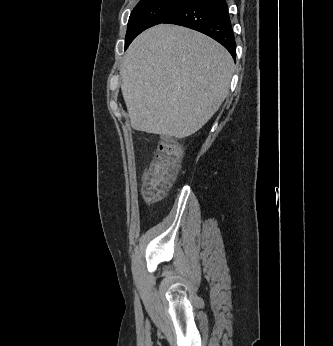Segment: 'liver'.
I'll return each mask as SVG.
<instances>
[{"mask_svg":"<svg viewBox=\"0 0 333 346\" xmlns=\"http://www.w3.org/2000/svg\"><path fill=\"white\" fill-rule=\"evenodd\" d=\"M233 72L230 53L202 33L168 24L144 31L121 71L132 128L179 139L194 134L227 97Z\"/></svg>","mask_w":333,"mask_h":346,"instance_id":"6515ba94","label":"liver"}]
</instances>
